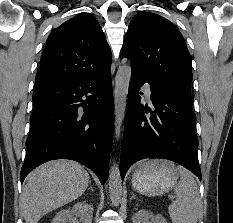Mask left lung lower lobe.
I'll list each match as a JSON object with an SVG mask.
<instances>
[{
  "mask_svg": "<svg viewBox=\"0 0 233 223\" xmlns=\"http://www.w3.org/2000/svg\"><path fill=\"white\" fill-rule=\"evenodd\" d=\"M131 68L120 160L121 178L138 160L162 158L184 166L201 180L192 96L154 87L142 71L132 65ZM145 82L150 84L152 92L150 109L140 103L142 94L138 91Z\"/></svg>",
  "mask_w": 233,
  "mask_h": 223,
  "instance_id": "left-lung-lower-lobe-1",
  "label": "left lung lower lobe"
}]
</instances>
